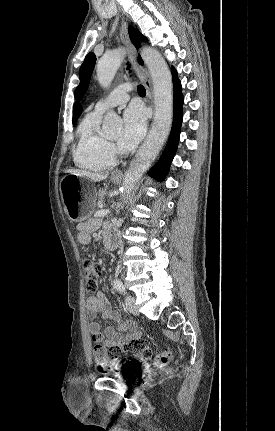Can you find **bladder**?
Returning a JSON list of instances; mask_svg holds the SVG:
<instances>
[{
    "instance_id": "31cf9c89",
    "label": "bladder",
    "mask_w": 275,
    "mask_h": 431,
    "mask_svg": "<svg viewBox=\"0 0 275 431\" xmlns=\"http://www.w3.org/2000/svg\"><path fill=\"white\" fill-rule=\"evenodd\" d=\"M108 375H112L113 377H115L119 380H125L126 379V374L123 370L110 372V373H108Z\"/></svg>"
}]
</instances>
